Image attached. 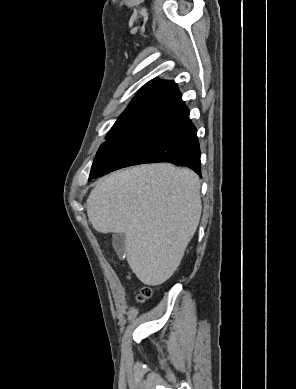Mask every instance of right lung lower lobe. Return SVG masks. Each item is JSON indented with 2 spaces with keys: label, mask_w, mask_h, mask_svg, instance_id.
Listing matches in <instances>:
<instances>
[{
  "label": "right lung lower lobe",
  "mask_w": 296,
  "mask_h": 389,
  "mask_svg": "<svg viewBox=\"0 0 296 389\" xmlns=\"http://www.w3.org/2000/svg\"><path fill=\"white\" fill-rule=\"evenodd\" d=\"M200 156L197 129L187 116L157 141L143 163L170 162L177 166L188 167L201 176ZM111 171L114 170L91 171L89 180Z\"/></svg>",
  "instance_id": "right-lung-lower-lobe-1"
}]
</instances>
